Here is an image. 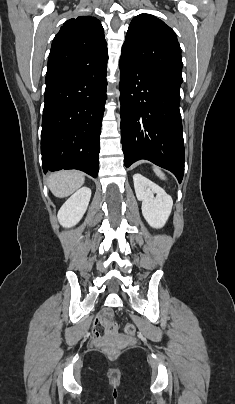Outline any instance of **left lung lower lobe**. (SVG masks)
Here are the masks:
<instances>
[{"label":"left lung lower lobe","mask_w":235,"mask_h":404,"mask_svg":"<svg viewBox=\"0 0 235 404\" xmlns=\"http://www.w3.org/2000/svg\"><path fill=\"white\" fill-rule=\"evenodd\" d=\"M119 65L125 166L146 159L171 171L181 183L185 162L179 110L182 82L122 55Z\"/></svg>","instance_id":"0a47b994"}]
</instances>
